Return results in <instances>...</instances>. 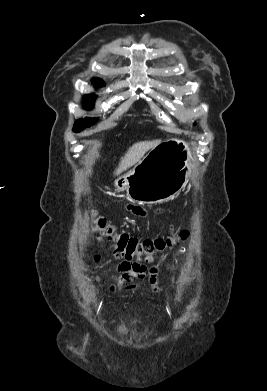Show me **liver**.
Listing matches in <instances>:
<instances>
[{"instance_id":"6515ba94","label":"liver","mask_w":267,"mask_h":391,"mask_svg":"<svg viewBox=\"0 0 267 391\" xmlns=\"http://www.w3.org/2000/svg\"><path fill=\"white\" fill-rule=\"evenodd\" d=\"M161 140L153 141H142L137 142L129 148L124 157L121 158L118 168L115 171V175L121 174L123 171L135 165L141 160V158L150 150L151 148L159 145Z\"/></svg>"}]
</instances>
